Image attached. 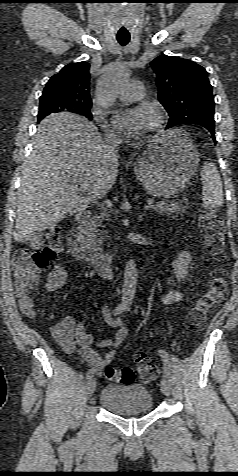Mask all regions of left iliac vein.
Wrapping results in <instances>:
<instances>
[{"mask_svg":"<svg viewBox=\"0 0 238 476\" xmlns=\"http://www.w3.org/2000/svg\"><path fill=\"white\" fill-rule=\"evenodd\" d=\"M161 390L166 396L171 395V384L166 378L161 380Z\"/></svg>","mask_w":238,"mask_h":476,"instance_id":"obj_1","label":"left iliac vein"}]
</instances>
